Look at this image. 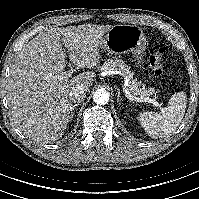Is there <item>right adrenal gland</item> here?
I'll list each match as a JSON object with an SVG mask.
<instances>
[{"label":"right adrenal gland","instance_id":"obj_1","mask_svg":"<svg viewBox=\"0 0 199 199\" xmlns=\"http://www.w3.org/2000/svg\"><path fill=\"white\" fill-rule=\"evenodd\" d=\"M78 106V103L74 104L71 108V114H70V118H73L74 117V114H75V108Z\"/></svg>","mask_w":199,"mask_h":199}]
</instances>
